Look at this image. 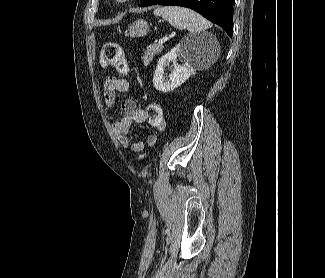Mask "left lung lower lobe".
Instances as JSON below:
<instances>
[{"mask_svg": "<svg viewBox=\"0 0 325 278\" xmlns=\"http://www.w3.org/2000/svg\"><path fill=\"white\" fill-rule=\"evenodd\" d=\"M176 5L195 10L221 26L229 37L233 33V0H144L140 6Z\"/></svg>", "mask_w": 325, "mask_h": 278, "instance_id": "left-lung-lower-lobe-1", "label": "left lung lower lobe"}]
</instances>
